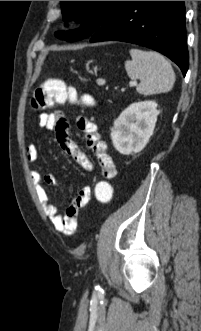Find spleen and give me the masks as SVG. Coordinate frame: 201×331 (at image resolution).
<instances>
[{
    "label": "spleen",
    "mask_w": 201,
    "mask_h": 331,
    "mask_svg": "<svg viewBox=\"0 0 201 331\" xmlns=\"http://www.w3.org/2000/svg\"><path fill=\"white\" fill-rule=\"evenodd\" d=\"M131 60L125 69L131 79H139L137 92L152 95L169 92L175 82V73L170 62L161 54L140 49L130 50Z\"/></svg>",
    "instance_id": "1"
}]
</instances>
